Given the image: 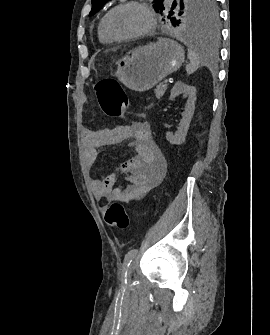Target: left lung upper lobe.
Returning a JSON list of instances; mask_svg holds the SVG:
<instances>
[{
  "label": "left lung upper lobe",
  "instance_id": "5c2ea615",
  "mask_svg": "<svg viewBox=\"0 0 270 335\" xmlns=\"http://www.w3.org/2000/svg\"><path fill=\"white\" fill-rule=\"evenodd\" d=\"M109 0H92L89 16L96 14ZM153 7L183 30L217 31L218 9L215 0H154Z\"/></svg>",
  "mask_w": 270,
  "mask_h": 335
}]
</instances>
